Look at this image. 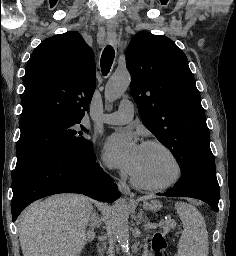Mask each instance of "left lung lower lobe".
I'll use <instances>...</instances> for the list:
<instances>
[{"instance_id": "1", "label": "left lung lower lobe", "mask_w": 236, "mask_h": 256, "mask_svg": "<svg viewBox=\"0 0 236 256\" xmlns=\"http://www.w3.org/2000/svg\"><path fill=\"white\" fill-rule=\"evenodd\" d=\"M168 197H192L206 202L211 208L218 212V201L220 187L217 181L216 172L193 169L182 174L174 187L164 194Z\"/></svg>"}]
</instances>
